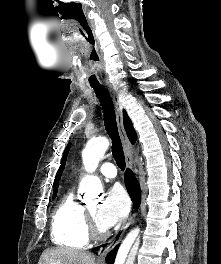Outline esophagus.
Wrapping results in <instances>:
<instances>
[{
    "label": "esophagus",
    "instance_id": "1",
    "mask_svg": "<svg viewBox=\"0 0 221 264\" xmlns=\"http://www.w3.org/2000/svg\"><path fill=\"white\" fill-rule=\"evenodd\" d=\"M107 90H108V92L112 98L113 104H114V108H115V112H116V121H117L118 130H119V134H120V137L122 140L124 154H125L126 166L129 169H132V166H133L132 150H131V145H130L129 139H128L126 132H125V129H124V125H123V112H122L123 106H122L121 101L119 100V97H118L116 91H114V89L110 85L107 86ZM133 217H134V213H131L128 221L122 225V227L117 231L115 236L109 241L105 250L103 252H102V250H100V252H99V259L100 260H104L106 252L112 250L120 242V240L123 237L126 229L132 223Z\"/></svg>",
    "mask_w": 221,
    "mask_h": 264
}]
</instances>
